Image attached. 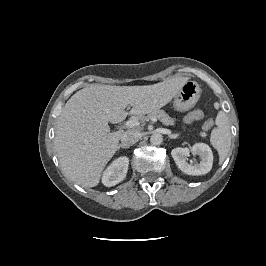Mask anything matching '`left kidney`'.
I'll use <instances>...</instances> for the list:
<instances>
[{
  "label": "left kidney",
  "mask_w": 266,
  "mask_h": 266,
  "mask_svg": "<svg viewBox=\"0 0 266 266\" xmlns=\"http://www.w3.org/2000/svg\"><path fill=\"white\" fill-rule=\"evenodd\" d=\"M190 152L200 157L199 164H189L187 162ZM171 155L178 168L188 175H203L212 169L213 154L210 147L205 143H196L191 150L182 147L174 148Z\"/></svg>",
  "instance_id": "left-kidney-1"
}]
</instances>
